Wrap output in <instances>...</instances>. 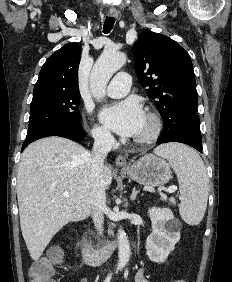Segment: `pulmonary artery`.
<instances>
[{
  "instance_id": "obj_1",
  "label": "pulmonary artery",
  "mask_w": 232,
  "mask_h": 282,
  "mask_svg": "<svg viewBox=\"0 0 232 282\" xmlns=\"http://www.w3.org/2000/svg\"><path fill=\"white\" fill-rule=\"evenodd\" d=\"M130 86V74L127 72H119L109 83L106 94L112 98H121L129 92Z\"/></svg>"
}]
</instances>
